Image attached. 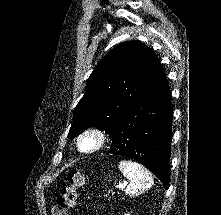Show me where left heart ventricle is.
<instances>
[{
  "mask_svg": "<svg viewBox=\"0 0 221 215\" xmlns=\"http://www.w3.org/2000/svg\"><path fill=\"white\" fill-rule=\"evenodd\" d=\"M93 144V142L91 141V140H86L85 142H84V147H90L91 145Z\"/></svg>",
  "mask_w": 221,
  "mask_h": 215,
  "instance_id": "b2bd125f",
  "label": "left heart ventricle"
}]
</instances>
